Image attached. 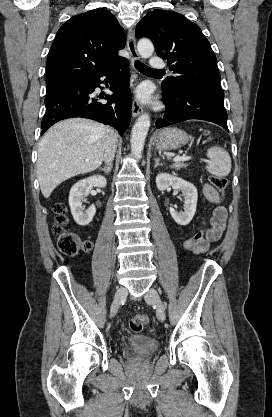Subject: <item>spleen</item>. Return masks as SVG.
<instances>
[{
    "mask_svg": "<svg viewBox=\"0 0 272 417\" xmlns=\"http://www.w3.org/2000/svg\"><path fill=\"white\" fill-rule=\"evenodd\" d=\"M209 158L206 170L218 177H225L231 171V158L229 153L220 147H211L207 150Z\"/></svg>",
    "mask_w": 272,
    "mask_h": 417,
    "instance_id": "obj_1",
    "label": "spleen"
}]
</instances>
